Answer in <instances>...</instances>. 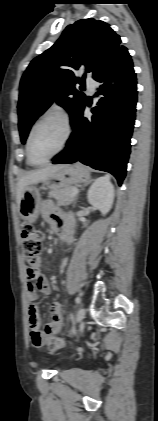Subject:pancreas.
<instances>
[{
    "instance_id": "1",
    "label": "pancreas",
    "mask_w": 158,
    "mask_h": 421,
    "mask_svg": "<svg viewBox=\"0 0 158 421\" xmlns=\"http://www.w3.org/2000/svg\"><path fill=\"white\" fill-rule=\"evenodd\" d=\"M75 187H66L60 190H52L49 192V197L54 198L58 205H68L75 201L76 197L72 196V191Z\"/></svg>"
}]
</instances>
